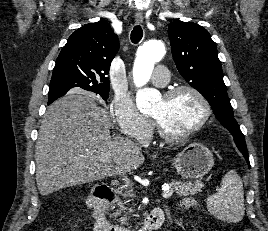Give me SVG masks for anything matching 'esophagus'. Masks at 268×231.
Here are the masks:
<instances>
[{
	"label": "esophagus",
	"mask_w": 268,
	"mask_h": 231,
	"mask_svg": "<svg viewBox=\"0 0 268 231\" xmlns=\"http://www.w3.org/2000/svg\"><path fill=\"white\" fill-rule=\"evenodd\" d=\"M144 21V16L142 14H136L135 16V22L137 24H142Z\"/></svg>",
	"instance_id": "esophagus-1"
}]
</instances>
